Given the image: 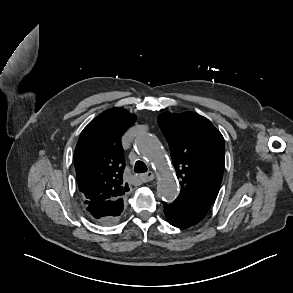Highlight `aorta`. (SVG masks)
Returning a JSON list of instances; mask_svg holds the SVG:
<instances>
[{
  "label": "aorta",
  "instance_id": "1",
  "mask_svg": "<svg viewBox=\"0 0 293 293\" xmlns=\"http://www.w3.org/2000/svg\"><path fill=\"white\" fill-rule=\"evenodd\" d=\"M138 154L156 171L158 175L157 191L167 200L177 198L179 189L169 160L158 139L149 133H143L135 139Z\"/></svg>",
  "mask_w": 293,
  "mask_h": 293
}]
</instances>
